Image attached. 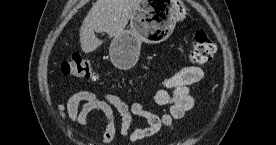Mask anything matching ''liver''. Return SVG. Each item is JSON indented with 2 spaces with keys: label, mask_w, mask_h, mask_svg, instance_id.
I'll return each instance as SVG.
<instances>
[{
  "label": "liver",
  "mask_w": 276,
  "mask_h": 145,
  "mask_svg": "<svg viewBox=\"0 0 276 145\" xmlns=\"http://www.w3.org/2000/svg\"><path fill=\"white\" fill-rule=\"evenodd\" d=\"M140 0H97L84 18L80 28L81 49L85 53L96 50L102 43L95 32L109 37L120 34L127 25Z\"/></svg>",
  "instance_id": "6515ba94"
}]
</instances>
